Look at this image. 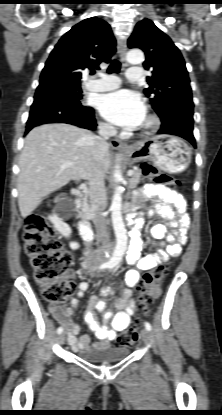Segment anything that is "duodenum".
Masks as SVG:
<instances>
[{
  "label": "duodenum",
  "mask_w": 222,
  "mask_h": 415,
  "mask_svg": "<svg viewBox=\"0 0 222 415\" xmlns=\"http://www.w3.org/2000/svg\"><path fill=\"white\" fill-rule=\"evenodd\" d=\"M78 191L82 196L85 195V190L82 186L78 187ZM79 231L81 232V235L83 238L87 241L91 240L92 238V230L90 226V213L88 211V208L83 206L80 212V221L78 223Z\"/></svg>",
  "instance_id": "410a0bca"
}]
</instances>
